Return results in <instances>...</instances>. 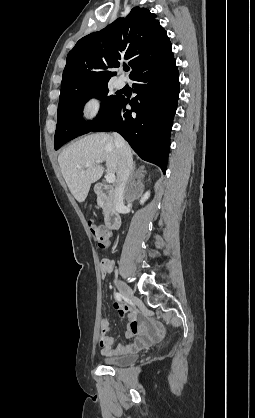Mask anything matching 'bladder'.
Instances as JSON below:
<instances>
[{"instance_id": "obj_1", "label": "bladder", "mask_w": 255, "mask_h": 418, "mask_svg": "<svg viewBox=\"0 0 255 418\" xmlns=\"http://www.w3.org/2000/svg\"><path fill=\"white\" fill-rule=\"evenodd\" d=\"M137 357H138L137 354L106 356V357H103L102 362L108 366L121 367V366L132 364L133 362L136 361Z\"/></svg>"}]
</instances>
